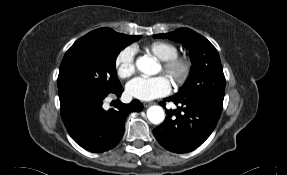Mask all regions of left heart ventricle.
I'll use <instances>...</instances> for the list:
<instances>
[{"label": "left heart ventricle", "mask_w": 287, "mask_h": 175, "mask_svg": "<svg viewBox=\"0 0 287 175\" xmlns=\"http://www.w3.org/2000/svg\"><path fill=\"white\" fill-rule=\"evenodd\" d=\"M159 71H162V66L160 67Z\"/></svg>", "instance_id": "obj_1"}]
</instances>
